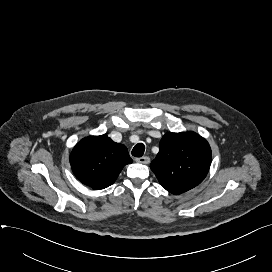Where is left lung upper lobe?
Instances as JSON below:
<instances>
[{
	"mask_svg": "<svg viewBox=\"0 0 272 272\" xmlns=\"http://www.w3.org/2000/svg\"><path fill=\"white\" fill-rule=\"evenodd\" d=\"M211 158L208 142L197 133L169 132L162 137L159 153L150 167L163 188L179 195L204 180Z\"/></svg>",
	"mask_w": 272,
	"mask_h": 272,
	"instance_id": "5c2ea615",
	"label": "left lung upper lobe"
}]
</instances>
